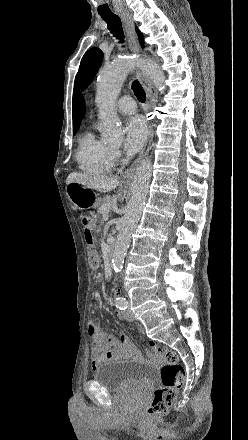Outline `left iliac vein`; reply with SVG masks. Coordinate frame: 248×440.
<instances>
[{
    "label": "left iliac vein",
    "instance_id": "4c4485c4",
    "mask_svg": "<svg viewBox=\"0 0 248 440\" xmlns=\"http://www.w3.org/2000/svg\"><path fill=\"white\" fill-rule=\"evenodd\" d=\"M122 317L128 321H133L135 319L133 313L130 311L129 308L122 312Z\"/></svg>",
    "mask_w": 248,
    "mask_h": 440
}]
</instances>
